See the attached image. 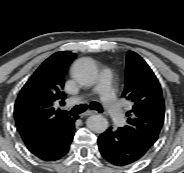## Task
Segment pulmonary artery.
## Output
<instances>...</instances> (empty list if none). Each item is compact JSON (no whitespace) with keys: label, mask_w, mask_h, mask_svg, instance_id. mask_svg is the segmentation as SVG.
Instances as JSON below:
<instances>
[{"label":"pulmonary artery","mask_w":184,"mask_h":173,"mask_svg":"<svg viewBox=\"0 0 184 173\" xmlns=\"http://www.w3.org/2000/svg\"><path fill=\"white\" fill-rule=\"evenodd\" d=\"M96 91L110 115L116 124H122L124 121V110L121 103L116 97L113 86V75L111 71H105L101 74Z\"/></svg>","instance_id":"obj_1"}]
</instances>
